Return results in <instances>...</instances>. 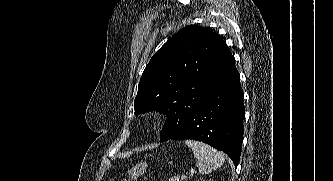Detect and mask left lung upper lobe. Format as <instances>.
Instances as JSON below:
<instances>
[{"instance_id": "left-lung-upper-lobe-1", "label": "left lung upper lobe", "mask_w": 333, "mask_h": 181, "mask_svg": "<svg viewBox=\"0 0 333 181\" xmlns=\"http://www.w3.org/2000/svg\"><path fill=\"white\" fill-rule=\"evenodd\" d=\"M235 63L222 38L209 28L188 25L151 58L134 101L136 114L159 109L168 122L198 109L210 87Z\"/></svg>"}]
</instances>
